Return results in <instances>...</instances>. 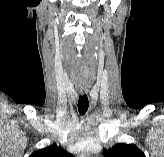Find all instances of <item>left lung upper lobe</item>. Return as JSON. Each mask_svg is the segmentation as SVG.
I'll use <instances>...</instances> for the list:
<instances>
[{
  "label": "left lung upper lobe",
  "mask_w": 164,
  "mask_h": 157,
  "mask_svg": "<svg viewBox=\"0 0 164 157\" xmlns=\"http://www.w3.org/2000/svg\"><path fill=\"white\" fill-rule=\"evenodd\" d=\"M104 157H146L145 154L133 144L118 143L109 150L103 151Z\"/></svg>",
  "instance_id": "5c2ea615"
}]
</instances>
